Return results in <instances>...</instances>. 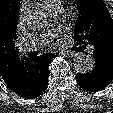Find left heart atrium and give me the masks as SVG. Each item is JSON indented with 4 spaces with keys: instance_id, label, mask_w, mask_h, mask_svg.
Listing matches in <instances>:
<instances>
[{
    "instance_id": "1",
    "label": "left heart atrium",
    "mask_w": 113,
    "mask_h": 113,
    "mask_svg": "<svg viewBox=\"0 0 113 113\" xmlns=\"http://www.w3.org/2000/svg\"><path fill=\"white\" fill-rule=\"evenodd\" d=\"M56 36H57V33L48 35L47 38H46V40H45V42H46V43L51 42V39H52L53 37H56Z\"/></svg>"
}]
</instances>
